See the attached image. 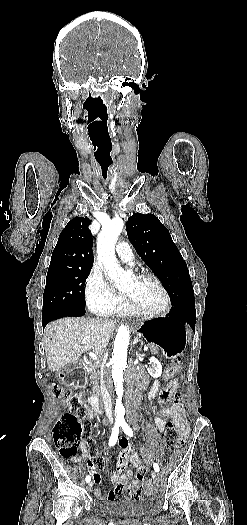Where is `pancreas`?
Returning a JSON list of instances; mask_svg holds the SVG:
<instances>
[{"instance_id": "obj_1", "label": "pancreas", "mask_w": 247, "mask_h": 525, "mask_svg": "<svg viewBox=\"0 0 247 525\" xmlns=\"http://www.w3.org/2000/svg\"><path fill=\"white\" fill-rule=\"evenodd\" d=\"M151 352H154V355H158V353L161 352V347H151ZM86 369L89 371L91 381H93V383L94 381H98L101 369L100 363L90 359L86 365Z\"/></svg>"}]
</instances>
